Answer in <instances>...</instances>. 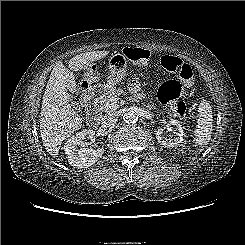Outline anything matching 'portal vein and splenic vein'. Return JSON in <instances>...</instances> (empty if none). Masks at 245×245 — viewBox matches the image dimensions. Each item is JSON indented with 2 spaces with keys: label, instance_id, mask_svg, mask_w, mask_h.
Returning <instances> with one entry per match:
<instances>
[{
  "label": "portal vein and splenic vein",
  "instance_id": "portal-vein-and-splenic-vein-1",
  "mask_svg": "<svg viewBox=\"0 0 245 245\" xmlns=\"http://www.w3.org/2000/svg\"><path fill=\"white\" fill-rule=\"evenodd\" d=\"M111 101H112L114 104H116L117 101H118V98H117V97H112V98H111Z\"/></svg>",
  "mask_w": 245,
  "mask_h": 245
}]
</instances>
